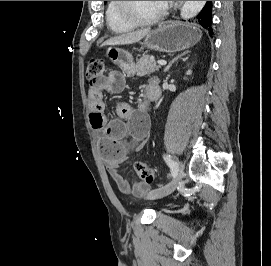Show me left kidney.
Wrapping results in <instances>:
<instances>
[{
  "instance_id": "obj_1",
  "label": "left kidney",
  "mask_w": 271,
  "mask_h": 266,
  "mask_svg": "<svg viewBox=\"0 0 271 266\" xmlns=\"http://www.w3.org/2000/svg\"><path fill=\"white\" fill-rule=\"evenodd\" d=\"M190 74H191V70H188V71H187V75H190Z\"/></svg>"
}]
</instances>
